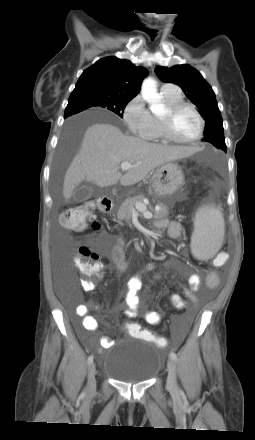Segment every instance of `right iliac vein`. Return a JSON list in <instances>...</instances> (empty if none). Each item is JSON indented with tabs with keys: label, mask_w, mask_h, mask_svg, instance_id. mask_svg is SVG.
Wrapping results in <instances>:
<instances>
[{
	"label": "right iliac vein",
	"mask_w": 255,
	"mask_h": 440,
	"mask_svg": "<svg viewBox=\"0 0 255 440\" xmlns=\"http://www.w3.org/2000/svg\"><path fill=\"white\" fill-rule=\"evenodd\" d=\"M95 375H96V365L95 363L92 362L88 367V390L90 392L94 391L96 387Z\"/></svg>",
	"instance_id": "right-iliac-vein-1"
}]
</instances>
